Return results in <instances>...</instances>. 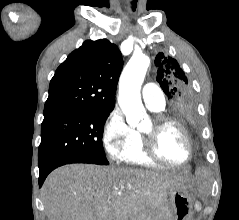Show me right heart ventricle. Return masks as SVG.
<instances>
[{
  "label": "right heart ventricle",
  "instance_id": "right-heart-ventricle-1",
  "mask_svg": "<svg viewBox=\"0 0 239 220\" xmlns=\"http://www.w3.org/2000/svg\"><path fill=\"white\" fill-rule=\"evenodd\" d=\"M152 110V109H151ZM159 112L160 110H152ZM123 162L140 166H157L158 163L148 157L143 149L141 134L136 131V140L124 150L120 158Z\"/></svg>",
  "mask_w": 239,
  "mask_h": 220
}]
</instances>
